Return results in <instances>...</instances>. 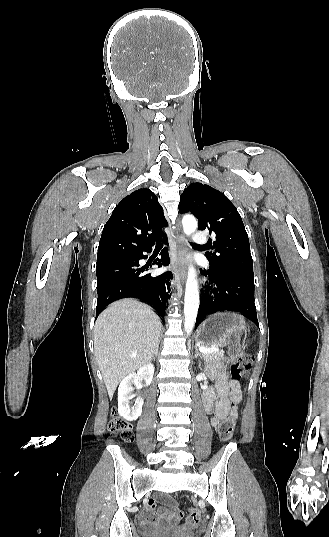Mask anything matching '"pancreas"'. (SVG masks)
I'll return each mask as SVG.
<instances>
[{
	"instance_id": "pancreas-1",
	"label": "pancreas",
	"mask_w": 329,
	"mask_h": 537,
	"mask_svg": "<svg viewBox=\"0 0 329 537\" xmlns=\"http://www.w3.org/2000/svg\"><path fill=\"white\" fill-rule=\"evenodd\" d=\"M203 358L208 362H218L221 359H224V352L212 351V352L203 353Z\"/></svg>"
}]
</instances>
